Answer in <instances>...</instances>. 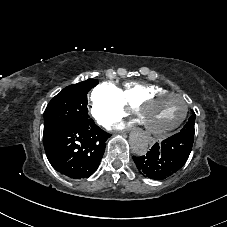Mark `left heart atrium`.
Wrapping results in <instances>:
<instances>
[{
	"instance_id": "obj_1",
	"label": "left heart atrium",
	"mask_w": 227,
	"mask_h": 227,
	"mask_svg": "<svg viewBox=\"0 0 227 227\" xmlns=\"http://www.w3.org/2000/svg\"><path fill=\"white\" fill-rule=\"evenodd\" d=\"M117 128L118 129H126V128H128V125L121 124Z\"/></svg>"
}]
</instances>
